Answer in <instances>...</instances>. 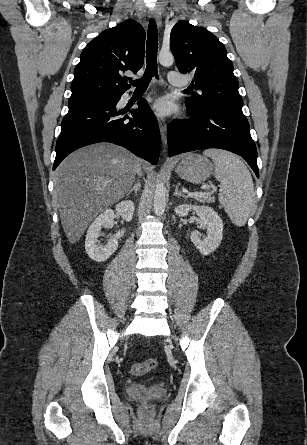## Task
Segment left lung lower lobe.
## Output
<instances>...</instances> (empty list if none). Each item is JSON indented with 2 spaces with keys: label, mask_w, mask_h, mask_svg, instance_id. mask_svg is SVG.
Returning <instances> with one entry per match:
<instances>
[{
  "label": "left lung lower lobe",
  "mask_w": 307,
  "mask_h": 445,
  "mask_svg": "<svg viewBox=\"0 0 307 445\" xmlns=\"http://www.w3.org/2000/svg\"><path fill=\"white\" fill-rule=\"evenodd\" d=\"M188 114L189 119L169 125V156L205 148L225 149L242 156L259 177L256 146L243 114L227 110Z\"/></svg>",
  "instance_id": "1"
}]
</instances>
